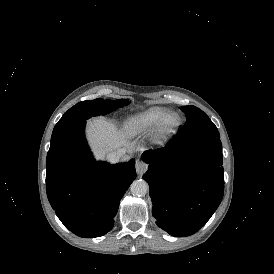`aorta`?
I'll return each mask as SVG.
<instances>
[{
  "label": "aorta",
  "mask_w": 274,
  "mask_h": 274,
  "mask_svg": "<svg viewBox=\"0 0 274 274\" xmlns=\"http://www.w3.org/2000/svg\"><path fill=\"white\" fill-rule=\"evenodd\" d=\"M148 188V183L143 179L135 180L130 186V190L133 196L146 195Z\"/></svg>",
  "instance_id": "1"
}]
</instances>
